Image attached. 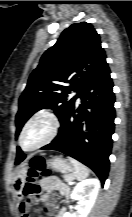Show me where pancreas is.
<instances>
[{"mask_svg": "<svg viewBox=\"0 0 132 217\" xmlns=\"http://www.w3.org/2000/svg\"><path fill=\"white\" fill-rule=\"evenodd\" d=\"M63 178L66 182L69 183L70 181H73L75 179V176L72 174H67V175H64Z\"/></svg>", "mask_w": 132, "mask_h": 217, "instance_id": "pancreas-1", "label": "pancreas"}]
</instances>
